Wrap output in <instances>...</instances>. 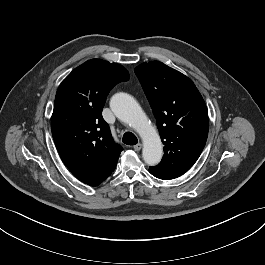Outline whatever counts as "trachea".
Returning <instances> with one entry per match:
<instances>
[{
	"label": "trachea",
	"mask_w": 265,
	"mask_h": 265,
	"mask_svg": "<svg viewBox=\"0 0 265 265\" xmlns=\"http://www.w3.org/2000/svg\"><path fill=\"white\" fill-rule=\"evenodd\" d=\"M122 141L127 145H135L138 143L137 137L132 132H126L123 135Z\"/></svg>",
	"instance_id": "1"
}]
</instances>
